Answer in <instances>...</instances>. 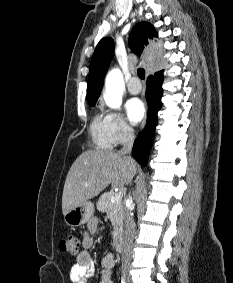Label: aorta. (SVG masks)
<instances>
[{
    "label": "aorta",
    "mask_w": 233,
    "mask_h": 283,
    "mask_svg": "<svg viewBox=\"0 0 233 283\" xmlns=\"http://www.w3.org/2000/svg\"><path fill=\"white\" fill-rule=\"evenodd\" d=\"M124 91V80L120 69L114 68L106 76L105 93L103 95L105 103L112 109H120Z\"/></svg>",
    "instance_id": "aorta-1"
}]
</instances>
